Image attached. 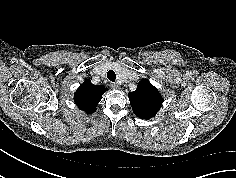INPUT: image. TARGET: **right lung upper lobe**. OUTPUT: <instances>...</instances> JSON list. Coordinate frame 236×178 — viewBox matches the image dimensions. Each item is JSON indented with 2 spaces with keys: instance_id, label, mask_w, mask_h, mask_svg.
Masks as SVG:
<instances>
[{
  "instance_id": "cb5924a9",
  "label": "right lung upper lobe",
  "mask_w": 236,
  "mask_h": 178,
  "mask_svg": "<svg viewBox=\"0 0 236 178\" xmlns=\"http://www.w3.org/2000/svg\"><path fill=\"white\" fill-rule=\"evenodd\" d=\"M107 88L101 85H94L89 79L77 89L74 95L75 104L86 113H93Z\"/></svg>"
}]
</instances>
